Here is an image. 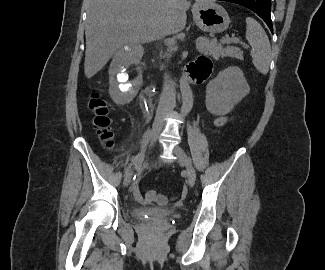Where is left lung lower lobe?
<instances>
[{
    "mask_svg": "<svg viewBox=\"0 0 325 270\" xmlns=\"http://www.w3.org/2000/svg\"><path fill=\"white\" fill-rule=\"evenodd\" d=\"M240 4L254 11L260 16L268 25L271 32H273V26L271 21V0H222Z\"/></svg>",
    "mask_w": 325,
    "mask_h": 270,
    "instance_id": "left-lung-lower-lobe-1",
    "label": "left lung lower lobe"
}]
</instances>
